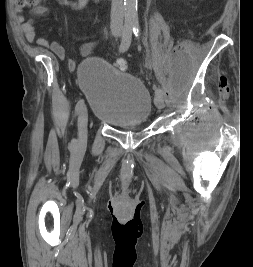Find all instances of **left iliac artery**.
I'll return each instance as SVG.
<instances>
[{
	"instance_id": "44dca946",
	"label": "left iliac artery",
	"mask_w": 253,
	"mask_h": 267,
	"mask_svg": "<svg viewBox=\"0 0 253 267\" xmlns=\"http://www.w3.org/2000/svg\"><path fill=\"white\" fill-rule=\"evenodd\" d=\"M133 31H134V34H135L136 37H138L140 35V29H139V27H135L133 29ZM154 89H155V95H157L159 93L163 94V91L160 88H158V87L155 86Z\"/></svg>"
}]
</instances>
